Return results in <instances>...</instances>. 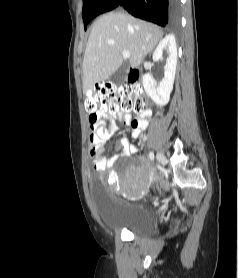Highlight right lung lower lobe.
Returning a JSON list of instances; mask_svg holds the SVG:
<instances>
[{"mask_svg": "<svg viewBox=\"0 0 238 278\" xmlns=\"http://www.w3.org/2000/svg\"><path fill=\"white\" fill-rule=\"evenodd\" d=\"M118 6L135 17L160 26H174L179 21V0H103L93 18Z\"/></svg>", "mask_w": 238, "mask_h": 278, "instance_id": "1", "label": "right lung lower lobe"}]
</instances>
